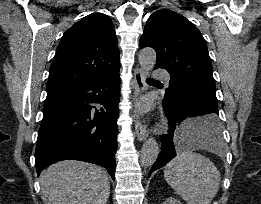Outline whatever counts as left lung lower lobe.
Segmentation results:
<instances>
[{
  "label": "left lung lower lobe",
  "instance_id": "left-lung-lower-lobe-1",
  "mask_svg": "<svg viewBox=\"0 0 261 204\" xmlns=\"http://www.w3.org/2000/svg\"><path fill=\"white\" fill-rule=\"evenodd\" d=\"M163 109L170 128L167 135L160 137L162 142L161 152L149 175L176 156L179 138L173 140V136L175 132L180 135L185 134V132L180 131L181 126L179 127L185 119L206 115L207 119L195 128L196 137L215 141L220 138V128L217 121L218 102L208 94L194 88L183 87L173 92L171 96H164ZM186 135L189 134L186 132Z\"/></svg>",
  "mask_w": 261,
  "mask_h": 204
}]
</instances>
